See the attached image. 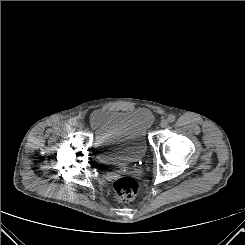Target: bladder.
<instances>
[{"label":"bladder","instance_id":"31cf9c89","mask_svg":"<svg viewBox=\"0 0 245 245\" xmlns=\"http://www.w3.org/2000/svg\"><path fill=\"white\" fill-rule=\"evenodd\" d=\"M88 122L100 162L122 166L136 163L145 155L154 115L146 107L102 108L93 111Z\"/></svg>","mask_w":245,"mask_h":245}]
</instances>
